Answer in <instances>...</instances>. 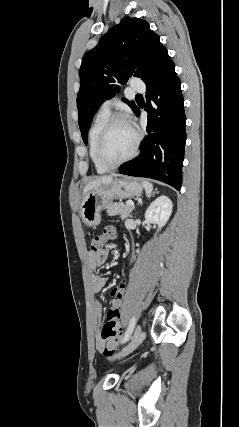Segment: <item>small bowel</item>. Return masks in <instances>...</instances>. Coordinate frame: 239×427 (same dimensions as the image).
<instances>
[{
	"instance_id": "small-bowel-1",
	"label": "small bowel",
	"mask_w": 239,
	"mask_h": 427,
	"mask_svg": "<svg viewBox=\"0 0 239 427\" xmlns=\"http://www.w3.org/2000/svg\"><path fill=\"white\" fill-rule=\"evenodd\" d=\"M108 256L109 251L107 249H102L96 254L89 253L87 255V265L91 272L90 285L94 293L100 292L107 282V279L105 277L96 274V270L107 261ZM93 312L95 320L100 323L102 317V304L100 301L95 300ZM97 348L99 350H103L104 348V342L101 339L97 340Z\"/></svg>"
}]
</instances>
